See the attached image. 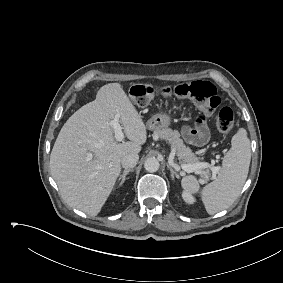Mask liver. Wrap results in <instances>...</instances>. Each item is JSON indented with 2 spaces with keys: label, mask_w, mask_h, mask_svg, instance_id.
I'll use <instances>...</instances> for the list:
<instances>
[{
  "label": "liver",
  "mask_w": 283,
  "mask_h": 283,
  "mask_svg": "<svg viewBox=\"0 0 283 283\" xmlns=\"http://www.w3.org/2000/svg\"><path fill=\"white\" fill-rule=\"evenodd\" d=\"M117 116L130 141L115 139L110 121ZM146 140V125L121 85L102 86L94 101L66 121L53 146L51 174L63 200L96 216L121 172L122 158L138 154Z\"/></svg>",
  "instance_id": "liver-1"
}]
</instances>
